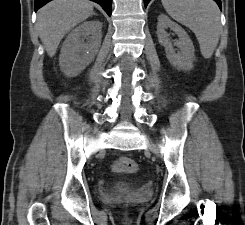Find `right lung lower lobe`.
Listing matches in <instances>:
<instances>
[{
    "instance_id": "98d812e1",
    "label": "right lung lower lobe",
    "mask_w": 245,
    "mask_h": 225,
    "mask_svg": "<svg viewBox=\"0 0 245 225\" xmlns=\"http://www.w3.org/2000/svg\"><path fill=\"white\" fill-rule=\"evenodd\" d=\"M49 1L51 0H35V11H37L40 7H42ZM92 1L100 4L103 7V9L107 12V14L111 16L112 0H92Z\"/></svg>"
}]
</instances>
